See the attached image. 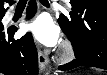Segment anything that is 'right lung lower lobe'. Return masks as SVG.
<instances>
[{"label":"right lung lower lobe","mask_w":107,"mask_h":75,"mask_svg":"<svg viewBox=\"0 0 107 75\" xmlns=\"http://www.w3.org/2000/svg\"><path fill=\"white\" fill-rule=\"evenodd\" d=\"M29 5L28 16H33L37 9L35 0H31ZM5 12L0 14L1 18ZM16 31L15 27L0 30V72L5 75H37L38 56L32 35L27 33L14 40Z\"/></svg>","instance_id":"1"}]
</instances>
